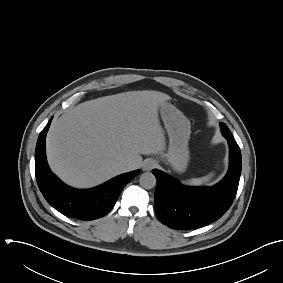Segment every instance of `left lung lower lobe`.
<instances>
[{
    "label": "left lung lower lobe",
    "mask_w": 283,
    "mask_h": 283,
    "mask_svg": "<svg viewBox=\"0 0 283 283\" xmlns=\"http://www.w3.org/2000/svg\"><path fill=\"white\" fill-rule=\"evenodd\" d=\"M230 150L226 176L213 187H185L175 179L154 169L157 179L155 212L166 226L177 230L203 227L219 219L230 208L238 189L242 159L233 135H224Z\"/></svg>",
    "instance_id": "0a47b994"
}]
</instances>
